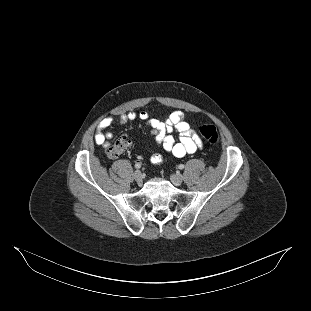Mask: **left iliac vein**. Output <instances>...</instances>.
I'll return each mask as SVG.
<instances>
[{"mask_svg":"<svg viewBox=\"0 0 311 311\" xmlns=\"http://www.w3.org/2000/svg\"><path fill=\"white\" fill-rule=\"evenodd\" d=\"M172 183L176 186H180L183 182V176L180 174H172L170 176Z\"/></svg>","mask_w":311,"mask_h":311,"instance_id":"obj_1","label":"left iliac vein"}]
</instances>
